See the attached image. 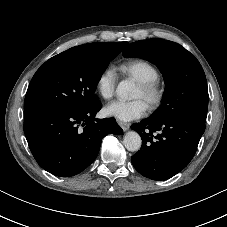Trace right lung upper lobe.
<instances>
[{
	"mask_svg": "<svg viewBox=\"0 0 227 227\" xmlns=\"http://www.w3.org/2000/svg\"><path fill=\"white\" fill-rule=\"evenodd\" d=\"M121 51L124 49V47L128 44L127 42H119ZM105 43L102 42H95V43H89L84 44L80 46L73 47L74 49L86 51V52H97L100 51L104 47Z\"/></svg>",
	"mask_w": 227,
	"mask_h": 227,
	"instance_id": "cb5924a9",
	"label": "right lung upper lobe"
}]
</instances>
